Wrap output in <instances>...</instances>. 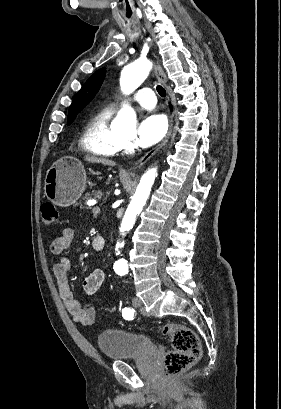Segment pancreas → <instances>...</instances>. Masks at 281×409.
<instances>
[{
	"label": "pancreas",
	"instance_id": "obj_1",
	"mask_svg": "<svg viewBox=\"0 0 281 409\" xmlns=\"http://www.w3.org/2000/svg\"><path fill=\"white\" fill-rule=\"evenodd\" d=\"M90 192H86L85 196H83V200H88V198H101L103 196L102 190H91Z\"/></svg>",
	"mask_w": 281,
	"mask_h": 409
}]
</instances>
